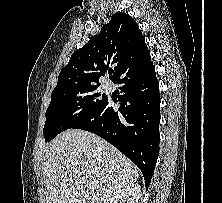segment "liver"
Listing matches in <instances>:
<instances>
[{
	"instance_id": "liver-1",
	"label": "liver",
	"mask_w": 222,
	"mask_h": 203,
	"mask_svg": "<svg viewBox=\"0 0 222 203\" xmlns=\"http://www.w3.org/2000/svg\"><path fill=\"white\" fill-rule=\"evenodd\" d=\"M46 203H105L139 177L138 168L99 136L68 129L47 146Z\"/></svg>"
}]
</instances>
